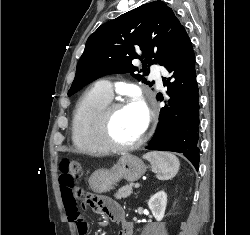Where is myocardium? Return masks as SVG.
Segmentation results:
<instances>
[{"label": "myocardium", "mask_w": 250, "mask_h": 235, "mask_svg": "<svg viewBox=\"0 0 250 235\" xmlns=\"http://www.w3.org/2000/svg\"><path fill=\"white\" fill-rule=\"evenodd\" d=\"M131 106L128 101L116 100L110 101L101 110L96 127V133L99 141L107 148L109 151L115 152H125L133 150L139 147L146 139V131L144 130L138 139L131 143L121 144L117 143L111 136V122L115 113L125 107ZM149 121V116H148Z\"/></svg>", "instance_id": "myocardium-1"}]
</instances>
